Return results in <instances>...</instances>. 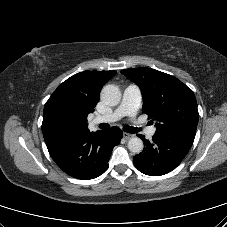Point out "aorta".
Returning <instances> with one entry per match:
<instances>
[{"label":"aorta","mask_w":227,"mask_h":227,"mask_svg":"<svg viewBox=\"0 0 227 227\" xmlns=\"http://www.w3.org/2000/svg\"><path fill=\"white\" fill-rule=\"evenodd\" d=\"M101 100L108 106H116L121 100L120 89L115 85H106L101 91ZM144 147L143 141L138 137H132L128 141V149L135 154L142 152Z\"/></svg>","instance_id":"1"}]
</instances>
